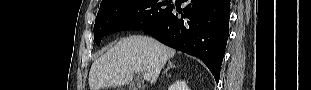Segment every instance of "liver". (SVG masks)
Wrapping results in <instances>:
<instances>
[{"label":"liver","instance_id":"1","mask_svg":"<svg viewBox=\"0 0 311 90\" xmlns=\"http://www.w3.org/2000/svg\"><path fill=\"white\" fill-rule=\"evenodd\" d=\"M175 53L174 49L150 37L122 38L92 64L88 79L90 90L129 84L134 74L140 72L149 74L154 84L166 61Z\"/></svg>","mask_w":311,"mask_h":90}]
</instances>
